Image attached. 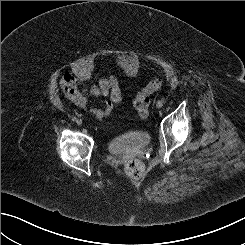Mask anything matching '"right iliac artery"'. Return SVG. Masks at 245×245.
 I'll list each match as a JSON object with an SVG mask.
<instances>
[{
    "label": "right iliac artery",
    "mask_w": 245,
    "mask_h": 245,
    "mask_svg": "<svg viewBox=\"0 0 245 245\" xmlns=\"http://www.w3.org/2000/svg\"><path fill=\"white\" fill-rule=\"evenodd\" d=\"M71 120H72V121H77V118H76V117H72Z\"/></svg>",
    "instance_id": "obj_1"
}]
</instances>
